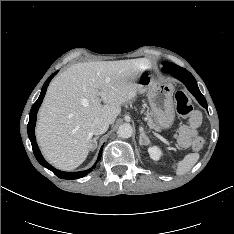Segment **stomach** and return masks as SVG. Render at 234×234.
<instances>
[{
  "mask_svg": "<svg viewBox=\"0 0 234 234\" xmlns=\"http://www.w3.org/2000/svg\"><path fill=\"white\" fill-rule=\"evenodd\" d=\"M135 81L138 92L147 93L152 118L161 129H169L175 119L173 83L156 81L150 67L138 74Z\"/></svg>",
  "mask_w": 234,
  "mask_h": 234,
  "instance_id": "stomach-1",
  "label": "stomach"
}]
</instances>
